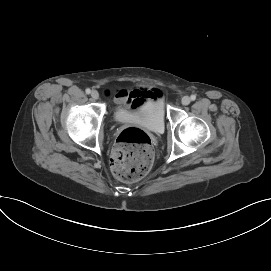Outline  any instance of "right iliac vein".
<instances>
[{
    "label": "right iliac vein",
    "mask_w": 271,
    "mask_h": 271,
    "mask_svg": "<svg viewBox=\"0 0 271 271\" xmlns=\"http://www.w3.org/2000/svg\"><path fill=\"white\" fill-rule=\"evenodd\" d=\"M91 97L94 100H97L99 98V93L96 90H93L92 93H91Z\"/></svg>",
    "instance_id": "obj_1"
}]
</instances>
